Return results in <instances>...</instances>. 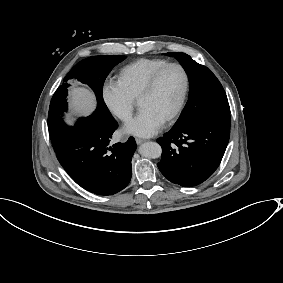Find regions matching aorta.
Masks as SVG:
<instances>
[{
  "mask_svg": "<svg viewBox=\"0 0 283 283\" xmlns=\"http://www.w3.org/2000/svg\"><path fill=\"white\" fill-rule=\"evenodd\" d=\"M139 153L146 158H159L162 153L161 146L156 142H146L139 147Z\"/></svg>",
  "mask_w": 283,
  "mask_h": 283,
  "instance_id": "1",
  "label": "aorta"
}]
</instances>
